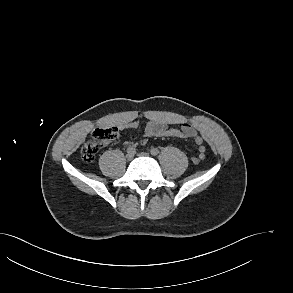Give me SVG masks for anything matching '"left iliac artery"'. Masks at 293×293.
I'll use <instances>...</instances> for the list:
<instances>
[{
    "label": "left iliac artery",
    "mask_w": 293,
    "mask_h": 293,
    "mask_svg": "<svg viewBox=\"0 0 293 293\" xmlns=\"http://www.w3.org/2000/svg\"><path fill=\"white\" fill-rule=\"evenodd\" d=\"M150 152H151V155L156 156V155L159 154V149L158 148H152Z\"/></svg>",
    "instance_id": "obj_1"
}]
</instances>
